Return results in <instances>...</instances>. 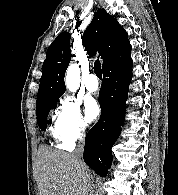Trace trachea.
<instances>
[{
	"mask_svg": "<svg viewBox=\"0 0 178 195\" xmlns=\"http://www.w3.org/2000/svg\"><path fill=\"white\" fill-rule=\"evenodd\" d=\"M94 72L99 79H102L101 63L98 59L94 63Z\"/></svg>",
	"mask_w": 178,
	"mask_h": 195,
	"instance_id": "1",
	"label": "trachea"
}]
</instances>
